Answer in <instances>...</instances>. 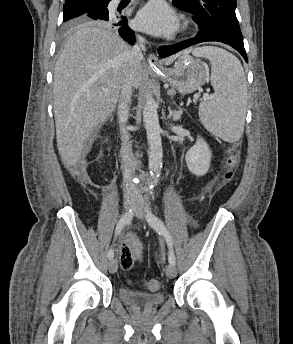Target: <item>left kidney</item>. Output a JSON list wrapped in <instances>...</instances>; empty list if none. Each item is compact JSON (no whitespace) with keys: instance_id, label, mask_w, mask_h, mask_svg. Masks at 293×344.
Returning <instances> with one entry per match:
<instances>
[{"instance_id":"obj_1","label":"left kidney","mask_w":293,"mask_h":344,"mask_svg":"<svg viewBox=\"0 0 293 344\" xmlns=\"http://www.w3.org/2000/svg\"><path fill=\"white\" fill-rule=\"evenodd\" d=\"M211 156L208 144L198 136L195 145L187 151L185 156L189 171L196 176H204L209 170Z\"/></svg>"}]
</instances>
